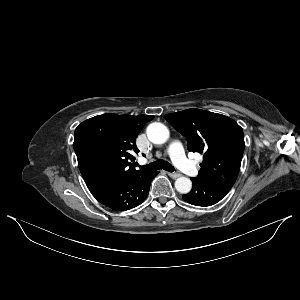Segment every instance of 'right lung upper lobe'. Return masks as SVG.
Here are the masks:
<instances>
[{
	"label": "right lung upper lobe",
	"mask_w": 300,
	"mask_h": 300,
	"mask_svg": "<svg viewBox=\"0 0 300 300\" xmlns=\"http://www.w3.org/2000/svg\"><path fill=\"white\" fill-rule=\"evenodd\" d=\"M154 116L103 114L82 122L75 129L74 150L78 166L90 191L124 178L144 174L131 161L138 153L135 139Z\"/></svg>",
	"instance_id": "1"
}]
</instances>
